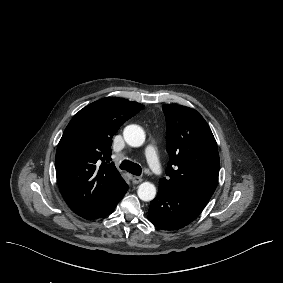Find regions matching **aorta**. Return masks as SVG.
Listing matches in <instances>:
<instances>
[{
    "label": "aorta",
    "mask_w": 283,
    "mask_h": 283,
    "mask_svg": "<svg viewBox=\"0 0 283 283\" xmlns=\"http://www.w3.org/2000/svg\"><path fill=\"white\" fill-rule=\"evenodd\" d=\"M123 136L128 145L131 147H140L145 142V132L138 125H128L123 131ZM138 197L142 201H151L156 196V187L150 182H143L137 190Z\"/></svg>",
    "instance_id": "aorta-1"
}]
</instances>
